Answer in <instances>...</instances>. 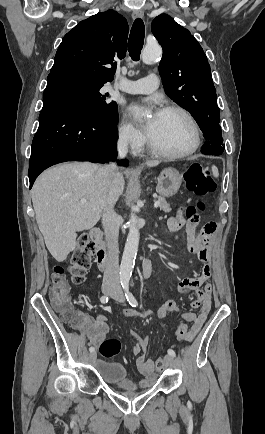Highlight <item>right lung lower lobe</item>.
Instances as JSON below:
<instances>
[{
    "label": "right lung lower lobe",
    "instance_id": "98d812e1",
    "mask_svg": "<svg viewBox=\"0 0 265 434\" xmlns=\"http://www.w3.org/2000/svg\"><path fill=\"white\" fill-rule=\"evenodd\" d=\"M116 140V125L87 118L61 97H44L29 161L30 188L37 176L54 164L110 161L116 155ZM119 163L127 165L126 160Z\"/></svg>",
    "mask_w": 265,
    "mask_h": 434
}]
</instances>
